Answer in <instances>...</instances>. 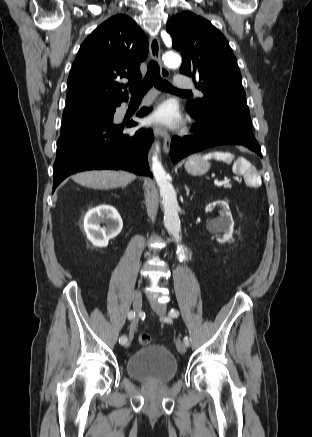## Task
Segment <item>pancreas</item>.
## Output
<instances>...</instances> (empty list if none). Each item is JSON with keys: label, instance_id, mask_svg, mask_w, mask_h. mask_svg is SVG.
<instances>
[{"label": "pancreas", "instance_id": "pancreas-1", "mask_svg": "<svg viewBox=\"0 0 312 437\" xmlns=\"http://www.w3.org/2000/svg\"><path fill=\"white\" fill-rule=\"evenodd\" d=\"M231 187H232V185L230 183H225L224 184V188H229L230 189Z\"/></svg>", "mask_w": 312, "mask_h": 437}]
</instances>
